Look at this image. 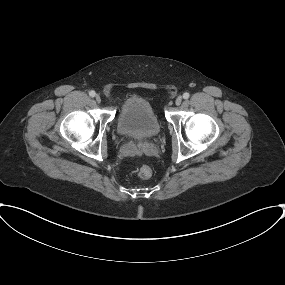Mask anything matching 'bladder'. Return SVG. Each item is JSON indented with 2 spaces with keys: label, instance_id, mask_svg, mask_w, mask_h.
<instances>
[{
  "label": "bladder",
  "instance_id": "bladder-1",
  "mask_svg": "<svg viewBox=\"0 0 285 285\" xmlns=\"http://www.w3.org/2000/svg\"><path fill=\"white\" fill-rule=\"evenodd\" d=\"M117 125L121 134L139 140L152 138L160 130L158 117L150 101L140 95H132L123 102Z\"/></svg>",
  "mask_w": 285,
  "mask_h": 285
}]
</instances>
